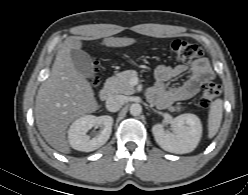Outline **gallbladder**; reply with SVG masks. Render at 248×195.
I'll use <instances>...</instances> for the list:
<instances>
[{
  "mask_svg": "<svg viewBox=\"0 0 248 195\" xmlns=\"http://www.w3.org/2000/svg\"><path fill=\"white\" fill-rule=\"evenodd\" d=\"M70 56L75 69L86 78L94 76V65L90 55L80 49H72Z\"/></svg>",
  "mask_w": 248,
  "mask_h": 195,
  "instance_id": "gallbladder-1",
  "label": "gallbladder"
}]
</instances>
